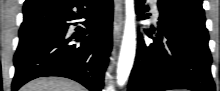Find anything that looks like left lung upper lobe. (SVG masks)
<instances>
[{"label": "left lung upper lobe", "instance_id": "1", "mask_svg": "<svg viewBox=\"0 0 220 91\" xmlns=\"http://www.w3.org/2000/svg\"><path fill=\"white\" fill-rule=\"evenodd\" d=\"M168 3H173L177 6L204 14V9L202 7V0H160Z\"/></svg>", "mask_w": 220, "mask_h": 91}]
</instances>
